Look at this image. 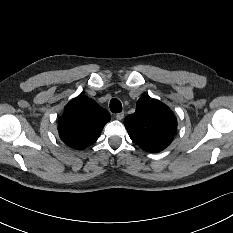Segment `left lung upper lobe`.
Returning a JSON list of instances; mask_svg holds the SVG:
<instances>
[{
  "label": "left lung upper lobe",
  "mask_w": 233,
  "mask_h": 233,
  "mask_svg": "<svg viewBox=\"0 0 233 233\" xmlns=\"http://www.w3.org/2000/svg\"><path fill=\"white\" fill-rule=\"evenodd\" d=\"M124 125L134 143L148 152L164 150L173 140L177 120L168 106L149 96H142L136 111L128 115Z\"/></svg>",
  "instance_id": "5c2ea615"
}]
</instances>
